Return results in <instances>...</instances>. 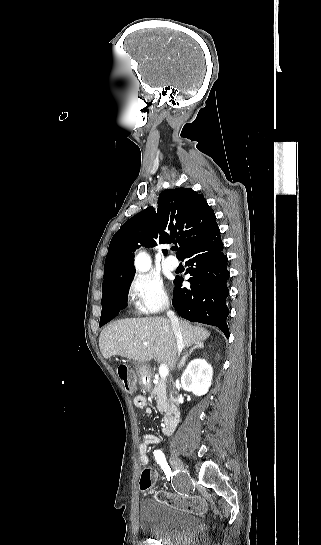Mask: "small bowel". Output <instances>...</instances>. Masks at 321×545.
Returning a JSON list of instances; mask_svg holds the SVG:
<instances>
[{
  "label": "small bowel",
  "mask_w": 321,
  "mask_h": 545,
  "mask_svg": "<svg viewBox=\"0 0 321 545\" xmlns=\"http://www.w3.org/2000/svg\"><path fill=\"white\" fill-rule=\"evenodd\" d=\"M134 405L137 408H144L146 406V399L142 395H137L134 398ZM147 412L150 413V409H147ZM159 443V438L154 434H145L143 435L141 442L139 443L138 450H139V457L140 461L143 465H147L149 462L148 458V449L151 445H155ZM153 472V471H152ZM154 478L156 477V472H153Z\"/></svg>",
  "instance_id": "c3829d8e"
}]
</instances>
